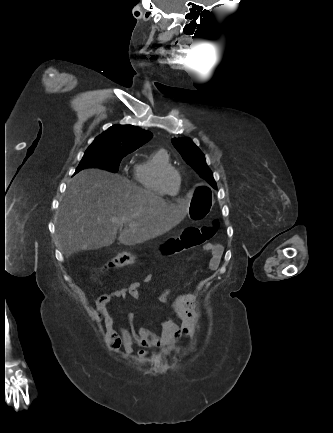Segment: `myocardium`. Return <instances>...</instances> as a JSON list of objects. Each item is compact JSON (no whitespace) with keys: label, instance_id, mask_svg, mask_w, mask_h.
I'll use <instances>...</instances> for the list:
<instances>
[{"label":"myocardium","instance_id":"1","mask_svg":"<svg viewBox=\"0 0 333 433\" xmlns=\"http://www.w3.org/2000/svg\"><path fill=\"white\" fill-rule=\"evenodd\" d=\"M169 172H173V173H175L176 176H177V178H178V180L180 179V173H179L178 169H176V168L173 167V166H166V167H163V168L159 171V174H158V183H159L161 189L163 190V192H164L167 196H174V194H171V193L167 192V190H166V188H165V185H164V178H165V176H166Z\"/></svg>","mask_w":333,"mask_h":433}]
</instances>
